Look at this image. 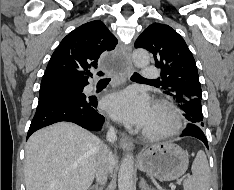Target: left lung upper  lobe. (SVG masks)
Returning <instances> with one entry per match:
<instances>
[{"mask_svg":"<svg viewBox=\"0 0 234 190\" xmlns=\"http://www.w3.org/2000/svg\"><path fill=\"white\" fill-rule=\"evenodd\" d=\"M135 48L153 53L164 80L162 91L178 104L189 122L203 127L198 71L184 39L170 26L153 23L138 37Z\"/></svg>","mask_w":234,"mask_h":190,"instance_id":"1","label":"left lung upper lobe"}]
</instances>
